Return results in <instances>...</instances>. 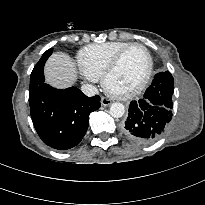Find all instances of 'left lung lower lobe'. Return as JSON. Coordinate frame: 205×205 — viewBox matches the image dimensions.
Masks as SVG:
<instances>
[{"mask_svg":"<svg viewBox=\"0 0 205 205\" xmlns=\"http://www.w3.org/2000/svg\"><path fill=\"white\" fill-rule=\"evenodd\" d=\"M159 86L138 101H132L128 117L122 125L123 134L138 144H150L159 139L172 119L173 104Z\"/></svg>","mask_w":205,"mask_h":205,"instance_id":"obj_1","label":"left lung lower lobe"}]
</instances>
